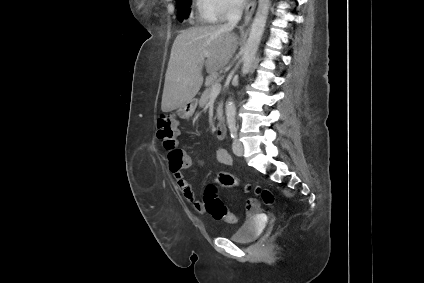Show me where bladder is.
I'll list each match as a JSON object with an SVG mask.
<instances>
[{
	"instance_id": "1",
	"label": "bladder",
	"mask_w": 424,
	"mask_h": 283,
	"mask_svg": "<svg viewBox=\"0 0 424 283\" xmlns=\"http://www.w3.org/2000/svg\"><path fill=\"white\" fill-rule=\"evenodd\" d=\"M261 228L259 220L252 217L247 219L229 238L237 243H251L257 239Z\"/></svg>"
}]
</instances>
